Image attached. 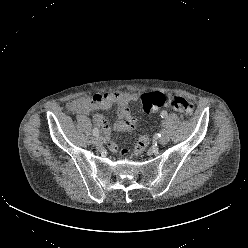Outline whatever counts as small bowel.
<instances>
[{
  "label": "small bowel",
  "instance_id": "c3829d8e",
  "mask_svg": "<svg viewBox=\"0 0 248 248\" xmlns=\"http://www.w3.org/2000/svg\"><path fill=\"white\" fill-rule=\"evenodd\" d=\"M140 99L139 93H129L125 91H115L104 94H95L89 97L75 99L68 104V109L74 113L89 114L95 112L94 120L102 128L108 139V147L112 152L118 150V145L109 139L111 126L104 116L97 111L109 109L113 104L118 106L119 121L115 124V129L118 131H131L136 126V119L131 114L129 109L130 102H135ZM120 154L123 157H128L131 154V149L128 146H123L120 149Z\"/></svg>",
  "mask_w": 248,
  "mask_h": 248
}]
</instances>
